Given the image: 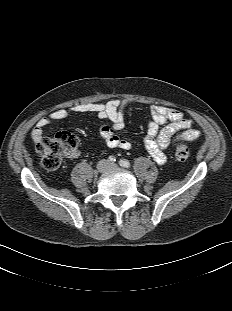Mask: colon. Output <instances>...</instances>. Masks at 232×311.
<instances>
[{"instance_id": "1", "label": "colon", "mask_w": 232, "mask_h": 311, "mask_svg": "<svg viewBox=\"0 0 232 311\" xmlns=\"http://www.w3.org/2000/svg\"><path fill=\"white\" fill-rule=\"evenodd\" d=\"M77 138L70 132H60L53 137L41 139L36 144V150L41 157V164L46 170L57 169L63 158L70 154L76 147ZM190 150L187 145L178 143L175 156L180 161L189 158Z\"/></svg>"}]
</instances>
